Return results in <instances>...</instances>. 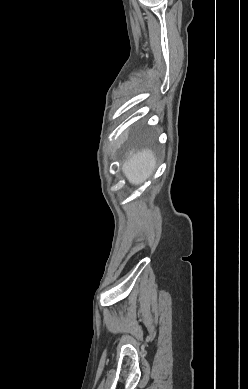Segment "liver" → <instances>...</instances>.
<instances>
[{
    "label": "liver",
    "mask_w": 248,
    "mask_h": 389,
    "mask_svg": "<svg viewBox=\"0 0 248 389\" xmlns=\"http://www.w3.org/2000/svg\"><path fill=\"white\" fill-rule=\"evenodd\" d=\"M155 167V154L150 149H142L130 154L122 165V171L131 184L140 185L153 174Z\"/></svg>",
    "instance_id": "1"
}]
</instances>
